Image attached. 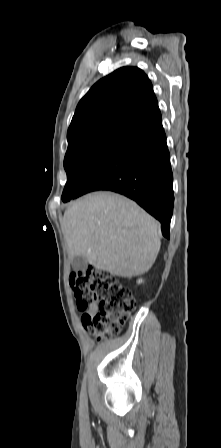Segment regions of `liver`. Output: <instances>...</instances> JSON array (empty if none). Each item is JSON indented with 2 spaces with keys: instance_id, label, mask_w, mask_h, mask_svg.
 <instances>
[{
  "instance_id": "1",
  "label": "liver",
  "mask_w": 221,
  "mask_h": 448,
  "mask_svg": "<svg viewBox=\"0 0 221 448\" xmlns=\"http://www.w3.org/2000/svg\"><path fill=\"white\" fill-rule=\"evenodd\" d=\"M68 256H83L98 270L131 278L147 272L160 250V224L134 201L94 192L65 211Z\"/></svg>"
}]
</instances>
